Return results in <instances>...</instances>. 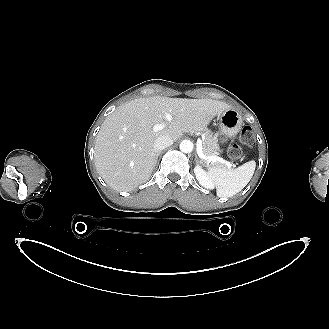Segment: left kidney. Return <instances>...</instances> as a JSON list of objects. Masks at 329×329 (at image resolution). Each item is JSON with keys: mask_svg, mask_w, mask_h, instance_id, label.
<instances>
[{"mask_svg": "<svg viewBox=\"0 0 329 329\" xmlns=\"http://www.w3.org/2000/svg\"><path fill=\"white\" fill-rule=\"evenodd\" d=\"M194 173H195L196 179L199 181L201 186H203L207 189L214 188V183L212 182L211 179H209L206 172L200 165L195 166Z\"/></svg>", "mask_w": 329, "mask_h": 329, "instance_id": "left-kidney-1", "label": "left kidney"}]
</instances>
